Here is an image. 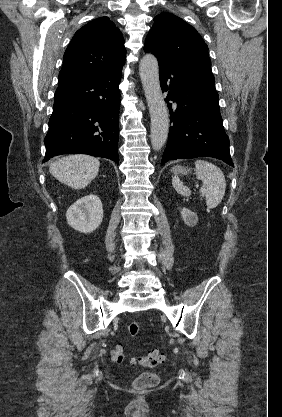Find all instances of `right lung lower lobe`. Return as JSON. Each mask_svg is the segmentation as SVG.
I'll return each mask as SVG.
<instances>
[{
	"mask_svg": "<svg viewBox=\"0 0 282 417\" xmlns=\"http://www.w3.org/2000/svg\"><path fill=\"white\" fill-rule=\"evenodd\" d=\"M120 81L121 69L58 86L43 162L82 153L119 164Z\"/></svg>",
	"mask_w": 282,
	"mask_h": 417,
	"instance_id": "obj_1",
	"label": "right lung lower lobe"
}]
</instances>
